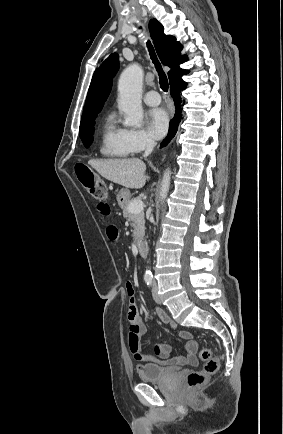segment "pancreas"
<instances>
[{"instance_id": "obj_1", "label": "pancreas", "mask_w": 283, "mask_h": 434, "mask_svg": "<svg viewBox=\"0 0 283 434\" xmlns=\"http://www.w3.org/2000/svg\"><path fill=\"white\" fill-rule=\"evenodd\" d=\"M139 200L137 199H130V201L122 207L123 209V216L125 218H128L132 222V227L134 228L133 237L135 242H138L143 236H144V230H145V220H144V213L143 211L139 213H131L129 211V205L130 203Z\"/></svg>"}]
</instances>
